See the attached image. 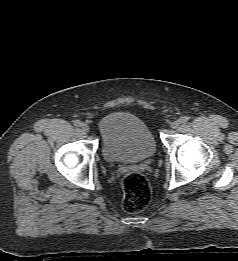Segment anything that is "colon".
<instances>
[{
	"label": "colon",
	"instance_id": "colon-1",
	"mask_svg": "<svg viewBox=\"0 0 238 261\" xmlns=\"http://www.w3.org/2000/svg\"><path fill=\"white\" fill-rule=\"evenodd\" d=\"M124 191L122 207L128 213L143 210L151 198L150 185L144 175L138 172L126 174L122 181Z\"/></svg>",
	"mask_w": 238,
	"mask_h": 261
}]
</instances>
